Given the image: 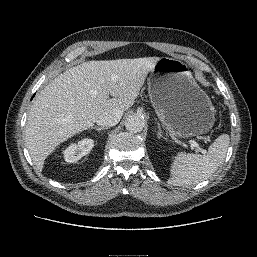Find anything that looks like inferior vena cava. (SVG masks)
Wrapping results in <instances>:
<instances>
[{
    "mask_svg": "<svg viewBox=\"0 0 257 257\" xmlns=\"http://www.w3.org/2000/svg\"><path fill=\"white\" fill-rule=\"evenodd\" d=\"M122 114L119 109L107 110L97 117L96 123L103 127L115 126L120 121Z\"/></svg>",
    "mask_w": 257,
    "mask_h": 257,
    "instance_id": "inferior-vena-cava-1",
    "label": "inferior vena cava"
}]
</instances>
